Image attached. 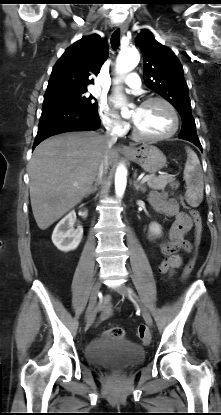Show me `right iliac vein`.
I'll list each match as a JSON object with an SVG mask.
<instances>
[{"label": "right iliac vein", "mask_w": 221, "mask_h": 415, "mask_svg": "<svg viewBox=\"0 0 221 415\" xmlns=\"http://www.w3.org/2000/svg\"><path fill=\"white\" fill-rule=\"evenodd\" d=\"M100 288H101V282L97 281L94 284L91 295H90L89 304L86 310V317H85L86 322H91L94 317V308L97 302V297H98Z\"/></svg>", "instance_id": "right-iliac-vein-1"}]
</instances>
